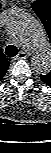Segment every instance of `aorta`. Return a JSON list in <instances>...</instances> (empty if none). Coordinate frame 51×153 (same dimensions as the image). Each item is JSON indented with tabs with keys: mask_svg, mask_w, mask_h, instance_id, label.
I'll return each mask as SVG.
<instances>
[{
	"mask_svg": "<svg viewBox=\"0 0 51 153\" xmlns=\"http://www.w3.org/2000/svg\"><path fill=\"white\" fill-rule=\"evenodd\" d=\"M7 31L14 42L34 51L31 66L37 74L46 75L51 71L50 42L40 22L28 13L18 12L10 18Z\"/></svg>",
	"mask_w": 51,
	"mask_h": 153,
	"instance_id": "762f6f07",
	"label": "aorta"
}]
</instances>
